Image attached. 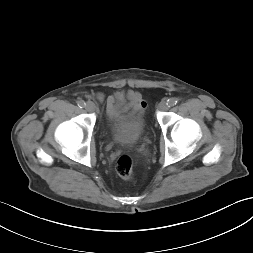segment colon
Wrapping results in <instances>:
<instances>
[{
    "instance_id": "5ec220e1",
    "label": "colon",
    "mask_w": 253,
    "mask_h": 253,
    "mask_svg": "<svg viewBox=\"0 0 253 253\" xmlns=\"http://www.w3.org/2000/svg\"><path fill=\"white\" fill-rule=\"evenodd\" d=\"M116 172L123 179H131L133 176V160L128 155L121 156L116 163Z\"/></svg>"
}]
</instances>
